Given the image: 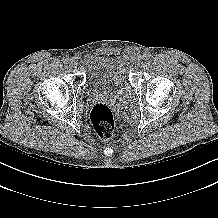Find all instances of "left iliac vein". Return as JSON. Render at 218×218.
<instances>
[{"label": "left iliac vein", "instance_id": "4c4485c4", "mask_svg": "<svg viewBox=\"0 0 218 218\" xmlns=\"http://www.w3.org/2000/svg\"><path fill=\"white\" fill-rule=\"evenodd\" d=\"M143 60H144V57H143L142 55H139V56L137 57V63H138V64H142V63H143Z\"/></svg>", "mask_w": 218, "mask_h": 218}]
</instances>
